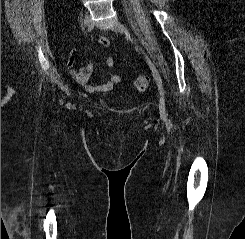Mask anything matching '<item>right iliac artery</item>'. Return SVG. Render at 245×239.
<instances>
[{"mask_svg":"<svg viewBox=\"0 0 245 239\" xmlns=\"http://www.w3.org/2000/svg\"><path fill=\"white\" fill-rule=\"evenodd\" d=\"M93 27H94V24L91 23V24L88 26V29H87L86 33L91 32V31L93 30Z\"/></svg>","mask_w":245,"mask_h":239,"instance_id":"right-iliac-artery-1","label":"right iliac artery"}]
</instances>
